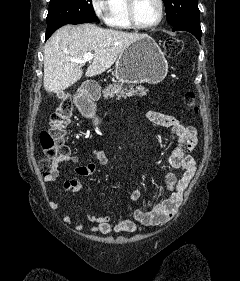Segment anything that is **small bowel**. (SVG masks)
<instances>
[{
	"instance_id": "obj_1",
	"label": "small bowel",
	"mask_w": 240,
	"mask_h": 281,
	"mask_svg": "<svg viewBox=\"0 0 240 281\" xmlns=\"http://www.w3.org/2000/svg\"><path fill=\"white\" fill-rule=\"evenodd\" d=\"M145 117L155 125L169 128L171 133L177 138V146L169 157V164L175 170L182 172L180 177L175 173L166 174L165 180L168 189V197L160 202L153 204L148 209H135L132 219H121L117 223H112L110 216H98L85 211L84 218L93 225L89 228L92 233H100L109 235L111 233H133L138 231L142 226H157L169 221L177 213L182 202L183 193L188 187L195 173V160L190 154L197 146V131L191 125H184L175 117L158 111H147ZM91 154L100 165L107 166L115 170L108 155L98 149L91 151ZM71 161L70 157H58L52 161V171L44 175V180L48 183H61L63 189L69 193H76L82 188L81 182L77 177H88L96 171V163L89 162L85 165L77 166L73 170V176L67 179H60V171L58 164L60 162ZM140 189L137 188L131 193V201L140 198ZM52 209H59L62 204L59 202H51ZM63 221L70 223L72 216L69 212L63 216ZM76 230L83 229V223L75 225Z\"/></svg>"
}]
</instances>
